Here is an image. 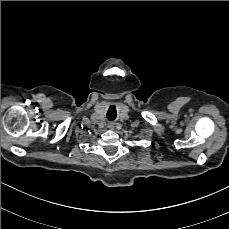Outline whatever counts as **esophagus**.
I'll use <instances>...</instances> for the list:
<instances>
[{
    "label": "esophagus",
    "instance_id": "34e87169",
    "mask_svg": "<svg viewBox=\"0 0 229 229\" xmlns=\"http://www.w3.org/2000/svg\"><path fill=\"white\" fill-rule=\"evenodd\" d=\"M112 124H109V128H113V126L111 127Z\"/></svg>",
    "mask_w": 229,
    "mask_h": 229
}]
</instances>
